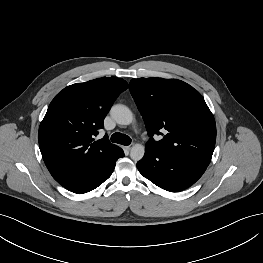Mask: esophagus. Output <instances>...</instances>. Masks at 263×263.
<instances>
[{"instance_id":"34e87169","label":"esophagus","mask_w":263,"mask_h":263,"mask_svg":"<svg viewBox=\"0 0 263 263\" xmlns=\"http://www.w3.org/2000/svg\"><path fill=\"white\" fill-rule=\"evenodd\" d=\"M131 148H132V146H131V145H129V146H126V147H125V149H126V150H128V151H130V150H131Z\"/></svg>"}]
</instances>
